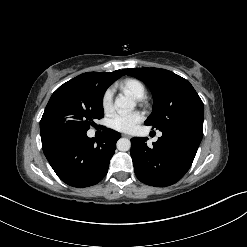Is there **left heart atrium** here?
Here are the masks:
<instances>
[{
	"instance_id": "left-heart-atrium-1",
	"label": "left heart atrium",
	"mask_w": 247,
	"mask_h": 247,
	"mask_svg": "<svg viewBox=\"0 0 247 247\" xmlns=\"http://www.w3.org/2000/svg\"><path fill=\"white\" fill-rule=\"evenodd\" d=\"M142 119V115L138 112L117 113L111 118L110 125L115 130L131 132Z\"/></svg>"
}]
</instances>
